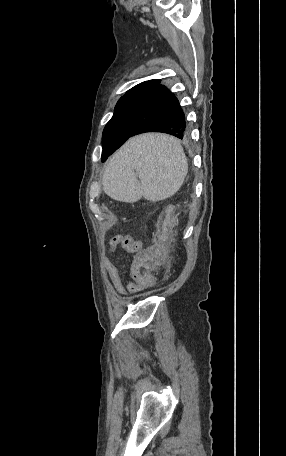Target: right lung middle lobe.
<instances>
[{
	"label": "right lung middle lobe",
	"mask_w": 286,
	"mask_h": 456,
	"mask_svg": "<svg viewBox=\"0 0 286 456\" xmlns=\"http://www.w3.org/2000/svg\"><path fill=\"white\" fill-rule=\"evenodd\" d=\"M129 129L124 116V104L118 101L111 120L104 128L102 135V158L104 162L117 148H119L129 136Z\"/></svg>",
	"instance_id": "obj_1"
}]
</instances>
